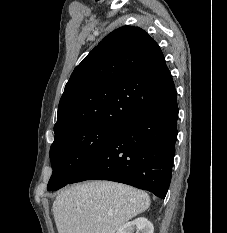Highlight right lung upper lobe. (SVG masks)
<instances>
[{"label": "right lung upper lobe", "mask_w": 227, "mask_h": 233, "mask_svg": "<svg viewBox=\"0 0 227 233\" xmlns=\"http://www.w3.org/2000/svg\"><path fill=\"white\" fill-rule=\"evenodd\" d=\"M174 89L153 38L139 27L118 28L74 69L59 102L55 136L87 125L120 127Z\"/></svg>", "instance_id": "cb5924a9"}]
</instances>
